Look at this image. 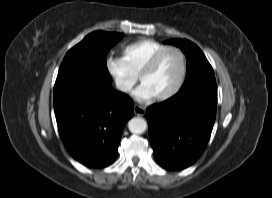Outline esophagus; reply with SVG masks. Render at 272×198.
<instances>
[{
    "instance_id": "1",
    "label": "esophagus",
    "mask_w": 272,
    "mask_h": 198,
    "mask_svg": "<svg viewBox=\"0 0 272 198\" xmlns=\"http://www.w3.org/2000/svg\"><path fill=\"white\" fill-rule=\"evenodd\" d=\"M134 113H135V115H137V116H143V115H145L146 110H145V108L142 107V106L135 105V106H134Z\"/></svg>"
}]
</instances>
